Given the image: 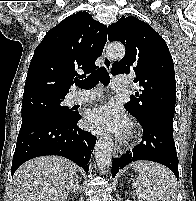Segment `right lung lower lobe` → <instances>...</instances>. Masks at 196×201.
<instances>
[{"label":"right lung lower lobe","mask_w":196,"mask_h":201,"mask_svg":"<svg viewBox=\"0 0 196 201\" xmlns=\"http://www.w3.org/2000/svg\"><path fill=\"white\" fill-rule=\"evenodd\" d=\"M80 118L78 112L68 120L47 115L22 118L12 161V176L22 163L44 155L63 156L87 172L97 138L77 126Z\"/></svg>","instance_id":"obj_1"}]
</instances>
